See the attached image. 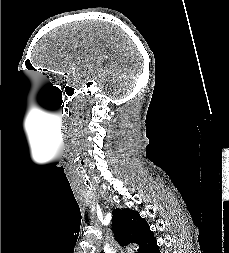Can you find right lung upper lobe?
I'll return each instance as SVG.
<instances>
[{
  "mask_svg": "<svg viewBox=\"0 0 229 253\" xmlns=\"http://www.w3.org/2000/svg\"><path fill=\"white\" fill-rule=\"evenodd\" d=\"M112 230L122 247L135 243L139 246L138 253H144L156 241L146 220L129 208L113 210Z\"/></svg>",
  "mask_w": 229,
  "mask_h": 253,
  "instance_id": "obj_1",
  "label": "right lung upper lobe"
}]
</instances>
